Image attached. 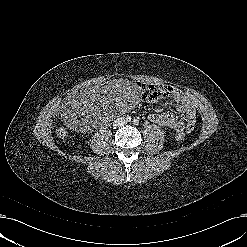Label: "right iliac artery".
<instances>
[{
	"instance_id": "right-iliac-artery-1",
	"label": "right iliac artery",
	"mask_w": 247,
	"mask_h": 247,
	"mask_svg": "<svg viewBox=\"0 0 247 247\" xmlns=\"http://www.w3.org/2000/svg\"><path fill=\"white\" fill-rule=\"evenodd\" d=\"M127 120H129V121H130V120H131V117H127Z\"/></svg>"
}]
</instances>
